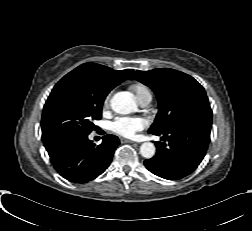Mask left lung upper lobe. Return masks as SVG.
Here are the masks:
<instances>
[{
	"label": "left lung upper lobe",
	"instance_id": "5c2ea615",
	"mask_svg": "<svg viewBox=\"0 0 252 231\" xmlns=\"http://www.w3.org/2000/svg\"><path fill=\"white\" fill-rule=\"evenodd\" d=\"M149 86L156 94L159 111L149 133L159 135L188 122L212 123V110L204 88L191 76L168 68L135 71L129 78Z\"/></svg>",
	"mask_w": 252,
	"mask_h": 231
}]
</instances>
